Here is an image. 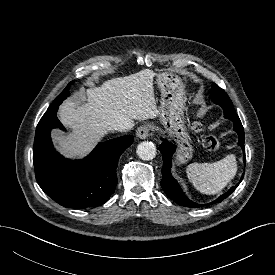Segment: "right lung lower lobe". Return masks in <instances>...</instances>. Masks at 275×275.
Masks as SVG:
<instances>
[{
	"instance_id": "obj_1",
	"label": "right lung lower lobe",
	"mask_w": 275,
	"mask_h": 275,
	"mask_svg": "<svg viewBox=\"0 0 275 275\" xmlns=\"http://www.w3.org/2000/svg\"><path fill=\"white\" fill-rule=\"evenodd\" d=\"M59 105L49 107L36 128L33 164L37 183L62 206H99L114 193L118 160L134 138L127 135L101 142L82 160L65 159L55 151L50 137L51 129H64L56 116Z\"/></svg>"
}]
</instances>
